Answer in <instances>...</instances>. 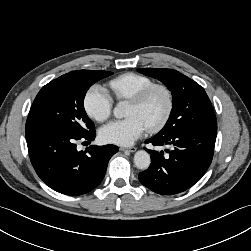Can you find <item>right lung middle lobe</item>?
<instances>
[{"label":"right lung middle lobe","mask_w":251,"mask_h":251,"mask_svg":"<svg viewBox=\"0 0 251 251\" xmlns=\"http://www.w3.org/2000/svg\"><path fill=\"white\" fill-rule=\"evenodd\" d=\"M108 71L78 70L62 75L41 88L30 109L27 122H37L76 135L95 131L84 109V97L95 82L112 75Z\"/></svg>","instance_id":"1"}]
</instances>
